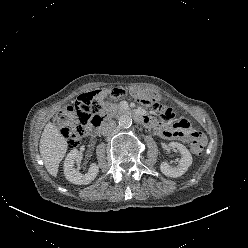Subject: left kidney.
I'll list each match as a JSON object with an SVG mask.
<instances>
[{"label":"left kidney","mask_w":248,"mask_h":248,"mask_svg":"<svg viewBox=\"0 0 248 248\" xmlns=\"http://www.w3.org/2000/svg\"><path fill=\"white\" fill-rule=\"evenodd\" d=\"M169 146L176 148L182 155L179 160V164L176 167H171L167 162H162L160 165L161 172L172 178H177L182 176L192 164V155L189 150L182 144L178 142H171Z\"/></svg>","instance_id":"left-kidney-1"}]
</instances>
